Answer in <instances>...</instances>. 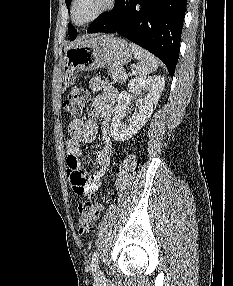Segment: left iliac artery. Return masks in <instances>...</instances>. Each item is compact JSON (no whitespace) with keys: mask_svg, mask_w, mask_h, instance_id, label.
<instances>
[{"mask_svg":"<svg viewBox=\"0 0 233 286\" xmlns=\"http://www.w3.org/2000/svg\"><path fill=\"white\" fill-rule=\"evenodd\" d=\"M97 268H98V255L96 252L92 255V259H91V270H92V272L95 273Z\"/></svg>","mask_w":233,"mask_h":286,"instance_id":"left-iliac-artery-1","label":"left iliac artery"}]
</instances>
